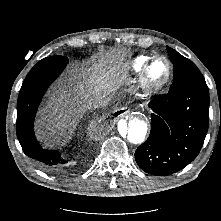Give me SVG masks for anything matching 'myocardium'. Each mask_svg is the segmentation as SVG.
<instances>
[{
	"label": "myocardium",
	"mask_w": 221,
	"mask_h": 221,
	"mask_svg": "<svg viewBox=\"0 0 221 221\" xmlns=\"http://www.w3.org/2000/svg\"><path fill=\"white\" fill-rule=\"evenodd\" d=\"M158 59H163L167 63L168 74L163 81L159 83H153L149 79V71L153 63ZM172 77H173V64L170 61V59L163 55H155L148 60V62L145 64L144 68L142 69L139 78V85L144 93L148 95H154L163 91L171 82Z\"/></svg>",
	"instance_id": "myocardium-1"
}]
</instances>
